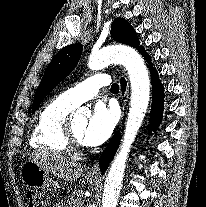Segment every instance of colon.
<instances>
[{
  "label": "colon",
  "instance_id": "obj_1",
  "mask_svg": "<svg viewBox=\"0 0 206 207\" xmlns=\"http://www.w3.org/2000/svg\"><path fill=\"white\" fill-rule=\"evenodd\" d=\"M28 206L29 207H45L46 198L44 195L36 190H31L27 194Z\"/></svg>",
  "mask_w": 206,
  "mask_h": 207
}]
</instances>
